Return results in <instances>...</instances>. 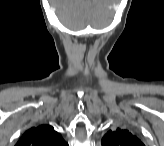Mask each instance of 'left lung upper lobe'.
Here are the masks:
<instances>
[{"label":"left lung upper lobe","instance_id":"left-lung-upper-lobe-1","mask_svg":"<svg viewBox=\"0 0 164 146\" xmlns=\"http://www.w3.org/2000/svg\"><path fill=\"white\" fill-rule=\"evenodd\" d=\"M104 146H144L139 138L125 129L108 131L101 140Z\"/></svg>","mask_w":164,"mask_h":146}]
</instances>
